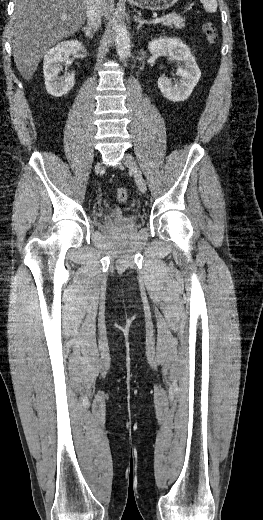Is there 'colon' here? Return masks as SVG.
I'll use <instances>...</instances> for the list:
<instances>
[{
    "label": "colon",
    "mask_w": 263,
    "mask_h": 520,
    "mask_svg": "<svg viewBox=\"0 0 263 520\" xmlns=\"http://www.w3.org/2000/svg\"><path fill=\"white\" fill-rule=\"evenodd\" d=\"M203 32L206 35V38L210 43H214L216 41V39H217L216 30L211 23L205 22L203 24ZM116 198L121 203L125 202L128 198L127 189L123 188V187L119 188L116 193Z\"/></svg>",
    "instance_id": "colon-1"
}]
</instances>
